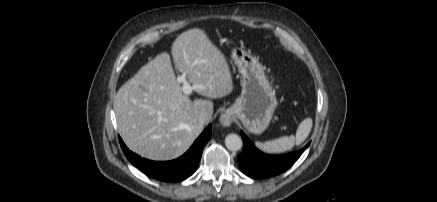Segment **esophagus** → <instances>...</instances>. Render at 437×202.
Here are the masks:
<instances>
[{
	"mask_svg": "<svg viewBox=\"0 0 437 202\" xmlns=\"http://www.w3.org/2000/svg\"><path fill=\"white\" fill-rule=\"evenodd\" d=\"M233 119L234 116L231 111H225L219 117V121L223 126H230Z\"/></svg>",
	"mask_w": 437,
	"mask_h": 202,
	"instance_id": "34e87169",
	"label": "esophagus"
}]
</instances>
